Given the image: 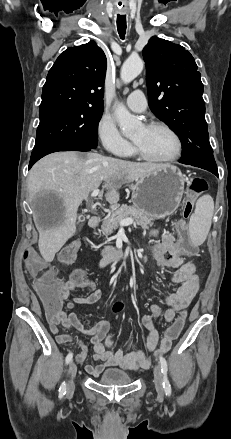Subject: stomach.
Returning a JSON list of instances; mask_svg holds the SVG:
<instances>
[{
  "instance_id": "0dacf381",
  "label": "stomach",
  "mask_w": 231,
  "mask_h": 439,
  "mask_svg": "<svg viewBox=\"0 0 231 439\" xmlns=\"http://www.w3.org/2000/svg\"><path fill=\"white\" fill-rule=\"evenodd\" d=\"M184 183L185 175L177 167L166 165L131 186L133 206L150 218L163 219L179 207Z\"/></svg>"
}]
</instances>
